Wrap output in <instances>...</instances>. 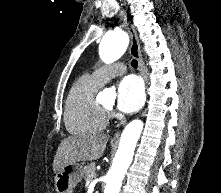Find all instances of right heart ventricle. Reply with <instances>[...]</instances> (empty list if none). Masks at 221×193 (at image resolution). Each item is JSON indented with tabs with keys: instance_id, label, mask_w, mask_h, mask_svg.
Segmentation results:
<instances>
[{
	"instance_id": "1",
	"label": "right heart ventricle",
	"mask_w": 221,
	"mask_h": 193,
	"mask_svg": "<svg viewBox=\"0 0 221 193\" xmlns=\"http://www.w3.org/2000/svg\"><path fill=\"white\" fill-rule=\"evenodd\" d=\"M91 76L78 78L70 88L64 106V120L71 134H91L100 132L108 124V116L96 101L100 88Z\"/></svg>"
}]
</instances>
